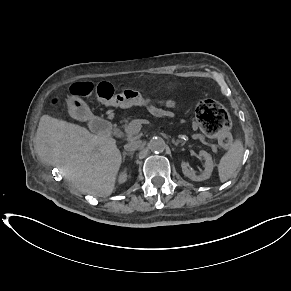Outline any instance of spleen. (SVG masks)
I'll return each instance as SVG.
<instances>
[{
	"mask_svg": "<svg viewBox=\"0 0 291 291\" xmlns=\"http://www.w3.org/2000/svg\"><path fill=\"white\" fill-rule=\"evenodd\" d=\"M244 153L243 143L236 139L222 156L218 164V173L221 182H226L232 177L239 167Z\"/></svg>",
	"mask_w": 291,
	"mask_h": 291,
	"instance_id": "obj_1",
	"label": "spleen"
}]
</instances>
